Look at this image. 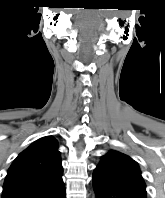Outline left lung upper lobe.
<instances>
[{"instance_id": "1", "label": "left lung upper lobe", "mask_w": 165, "mask_h": 198, "mask_svg": "<svg viewBox=\"0 0 165 198\" xmlns=\"http://www.w3.org/2000/svg\"><path fill=\"white\" fill-rule=\"evenodd\" d=\"M95 171L114 184L146 198V186L138 164L129 156L111 150L102 156Z\"/></svg>"}]
</instances>
